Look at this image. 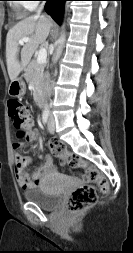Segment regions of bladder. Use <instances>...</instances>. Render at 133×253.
I'll list each match as a JSON object with an SVG mask.
<instances>
[{
	"instance_id": "obj_1",
	"label": "bladder",
	"mask_w": 133,
	"mask_h": 253,
	"mask_svg": "<svg viewBox=\"0 0 133 253\" xmlns=\"http://www.w3.org/2000/svg\"><path fill=\"white\" fill-rule=\"evenodd\" d=\"M23 197L43 210H53L59 206L62 196L58 192L42 187H34L23 192Z\"/></svg>"
}]
</instances>
